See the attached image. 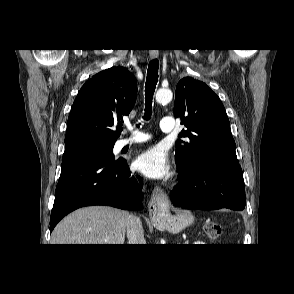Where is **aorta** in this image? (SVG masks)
I'll return each instance as SVG.
<instances>
[{"label": "aorta", "mask_w": 294, "mask_h": 294, "mask_svg": "<svg viewBox=\"0 0 294 294\" xmlns=\"http://www.w3.org/2000/svg\"><path fill=\"white\" fill-rule=\"evenodd\" d=\"M173 94L170 89L161 88L156 93V101L160 104L169 103L172 100Z\"/></svg>", "instance_id": "1"}]
</instances>
